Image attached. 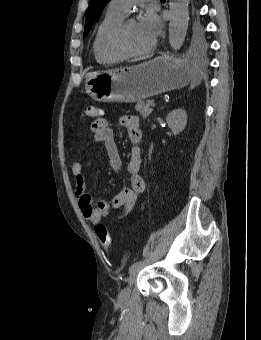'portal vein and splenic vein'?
<instances>
[{"label":"portal vein and splenic vein","instance_id":"obj_1","mask_svg":"<svg viewBox=\"0 0 261 340\" xmlns=\"http://www.w3.org/2000/svg\"><path fill=\"white\" fill-rule=\"evenodd\" d=\"M155 106H156V103L153 102V103L151 104V107L154 108Z\"/></svg>","mask_w":261,"mask_h":340}]
</instances>
